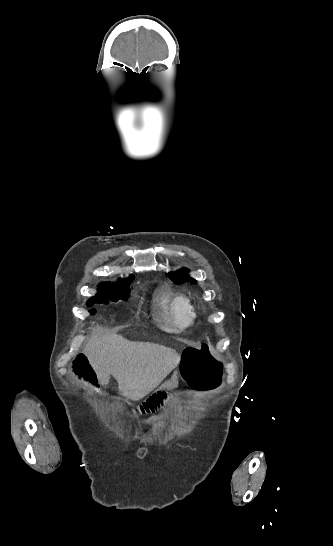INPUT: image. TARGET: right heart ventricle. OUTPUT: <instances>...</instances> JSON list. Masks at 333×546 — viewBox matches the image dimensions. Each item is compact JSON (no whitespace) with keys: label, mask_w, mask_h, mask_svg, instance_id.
Returning <instances> with one entry per match:
<instances>
[{"label":"right heart ventricle","mask_w":333,"mask_h":546,"mask_svg":"<svg viewBox=\"0 0 333 546\" xmlns=\"http://www.w3.org/2000/svg\"><path fill=\"white\" fill-rule=\"evenodd\" d=\"M156 303L162 325L172 332H180L192 325L195 309L189 297L181 293L163 292Z\"/></svg>","instance_id":"obj_1"}]
</instances>
